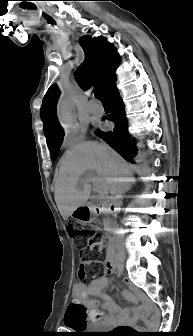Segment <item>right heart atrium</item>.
<instances>
[{
    "label": "right heart atrium",
    "instance_id": "d8ad5b80",
    "mask_svg": "<svg viewBox=\"0 0 193 336\" xmlns=\"http://www.w3.org/2000/svg\"><path fill=\"white\" fill-rule=\"evenodd\" d=\"M86 136V128L83 126L68 129L63 135V144L71 147L81 142Z\"/></svg>",
    "mask_w": 193,
    "mask_h": 336
}]
</instances>
